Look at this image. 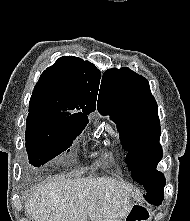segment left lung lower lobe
<instances>
[{
    "instance_id": "left-lung-lower-lobe-1",
    "label": "left lung lower lobe",
    "mask_w": 190,
    "mask_h": 221,
    "mask_svg": "<svg viewBox=\"0 0 190 221\" xmlns=\"http://www.w3.org/2000/svg\"><path fill=\"white\" fill-rule=\"evenodd\" d=\"M163 192H161L160 195L156 196L154 199H149L147 200L149 203L154 204V205H160L163 201Z\"/></svg>"
}]
</instances>
